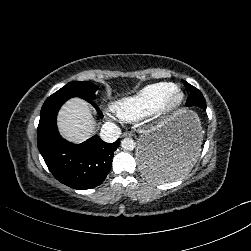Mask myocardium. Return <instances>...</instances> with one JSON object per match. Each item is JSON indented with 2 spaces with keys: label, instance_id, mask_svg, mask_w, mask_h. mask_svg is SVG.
<instances>
[{
  "label": "myocardium",
  "instance_id": "1",
  "mask_svg": "<svg viewBox=\"0 0 251 251\" xmlns=\"http://www.w3.org/2000/svg\"><path fill=\"white\" fill-rule=\"evenodd\" d=\"M171 87L176 93L180 94L181 100L176 107L169 108V103L173 94L169 91L165 92L157 106L151 112L153 118L157 119L161 123L168 122L178 116L184 110L187 103L185 91L176 84H172Z\"/></svg>",
  "mask_w": 251,
  "mask_h": 251
}]
</instances>
